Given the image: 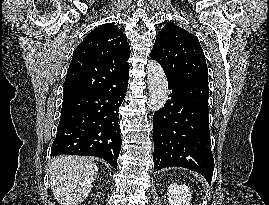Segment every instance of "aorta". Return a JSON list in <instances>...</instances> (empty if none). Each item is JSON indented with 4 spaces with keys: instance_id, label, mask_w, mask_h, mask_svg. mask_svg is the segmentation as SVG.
<instances>
[{
    "instance_id": "aorta-1",
    "label": "aorta",
    "mask_w": 269,
    "mask_h": 205,
    "mask_svg": "<svg viewBox=\"0 0 269 205\" xmlns=\"http://www.w3.org/2000/svg\"><path fill=\"white\" fill-rule=\"evenodd\" d=\"M147 80L149 84L148 109L160 110L168 98V82L162 67L156 62L147 65Z\"/></svg>"
}]
</instances>
